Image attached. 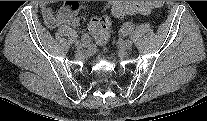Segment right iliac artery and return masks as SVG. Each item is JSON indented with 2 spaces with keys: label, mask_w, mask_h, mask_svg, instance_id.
<instances>
[{
  "label": "right iliac artery",
  "mask_w": 207,
  "mask_h": 121,
  "mask_svg": "<svg viewBox=\"0 0 207 121\" xmlns=\"http://www.w3.org/2000/svg\"><path fill=\"white\" fill-rule=\"evenodd\" d=\"M89 40L90 39H89V36L87 34H84L82 36V43H83V45L87 46L89 44Z\"/></svg>",
  "instance_id": "82829eb1"
}]
</instances>
